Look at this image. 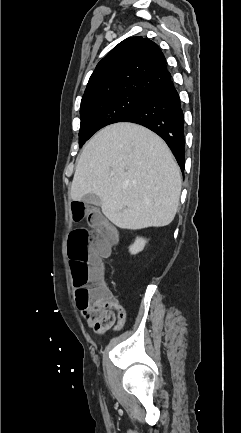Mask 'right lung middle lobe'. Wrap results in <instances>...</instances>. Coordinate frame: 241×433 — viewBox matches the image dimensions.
I'll return each mask as SVG.
<instances>
[{
    "instance_id": "right-lung-middle-lobe-1",
    "label": "right lung middle lobe",
    "mask_w": 241,
    "mask_h": 433,
    "mask_svg": "<svg viewBox=\"0 0 241 433\" xmlns=\"http://www.w3.org/2000/svg\"><path fill=\"white\" fill-rule=\"evenodd\" d=\"M146 97V93L131 91L81 102L79 146L81 147L99 129L121 122L137 110Z\"/></svg>"
}]
</instances>
